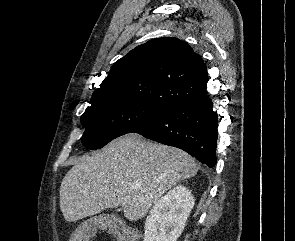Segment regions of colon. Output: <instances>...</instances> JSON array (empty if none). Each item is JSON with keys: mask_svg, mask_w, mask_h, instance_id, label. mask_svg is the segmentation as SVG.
<instances>
[{"mask_svg": "<svg viewBox=\"0 0 295 241\" xmlns=\"http://www.w3.org/2000/svg\"><path fill=\"white\" fill-rule=\"evenodd\" d=\"M94 227H106L118 241H137L134 231L122 219L111 216L97 218L73 231L70 241H89L95 231Z\"/></svg>", "mask_w": 295, "mask_h": 241, "instance_id": "5ec220e1", "label": "colon"}]
</instances>
